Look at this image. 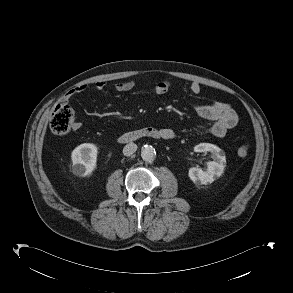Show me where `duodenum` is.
I'll use <instances>...</instances> for the list:
<instances>
[{"label": "duodenum", "instance_id": "1", "mask_svg": "<svg viewBox=\"0 0 293 293\" xmlns=\"http://www.w3.org/2000/svg\"><path fill=\"white\" fill-rule=\"evenodd\" d=\"M144 137H149V138H163V139H170L172 138L171 135L166 134L164 132H162L159 129H156L154 127H144L141 129H137L134 131H129L126 133H123L122 135L119 136L118 141L120 143L126 144V143H130V142H134L140 138H144Z\"/></svg>", "mask_w": 293, "mask_h": 293}]
</instances>
